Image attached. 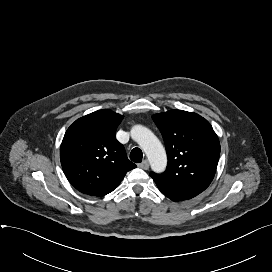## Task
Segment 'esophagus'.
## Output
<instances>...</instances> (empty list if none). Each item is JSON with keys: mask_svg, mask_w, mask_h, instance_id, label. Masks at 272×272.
Segmentation results:
<instances>
[{"mask_svg": "<svg viewBox=\"0 0 272 272\" xmlns=\"http://www.w3.org/2000/svg\"><path fill=\"white\" fill-rule=\"evenodd\" d=\"M138 167L147 170L149 168V162L147 160H144L142 163L138 164Z\"/></svg>", "mask_w": 272, "mask_h": 272, "instance_id": "obj_1", "label": "esophagus"}]
</instances>
